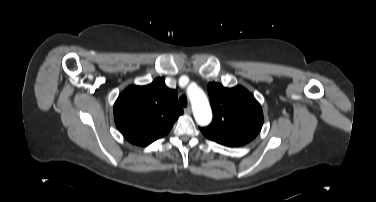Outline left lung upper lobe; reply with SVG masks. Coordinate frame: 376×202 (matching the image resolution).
<instances>
[{
    "mask_svg": "<svg viewBox=\"0 0 376 202\" xmlns=\"http://www.w3.org/2000/svg\"><path fill=\"white\" fill-rule=\"evenodd\" d=\"M207 89L213 120L203 129L240 144L252 141L263 125L262 108L254 96L242 86L225 88L212 82Z\"/></svg>",
    "mask_w": 376,
    "mask_h": 202,
    "instance_id": "1",
    "label": "left lung upper lobe"
}]
</instances>
